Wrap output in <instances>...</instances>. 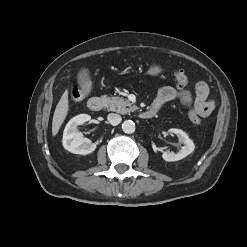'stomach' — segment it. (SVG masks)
<instances>
[{
  "label": "stomach",
  "mask_w": 247,
  "mask_h": 247,
  "mask_svg": "<svg viewBox=\"0 0 247 247\" xmlns=\"http://www.w3.org/2000/svg\"><path fill=\"white\" fill-rule=\"evenodd\" d=\"M162 72H163V69L159 65H152L148 70V74L151 76H158Z\"/></svg>",
  "instance_id": "stomach-1"
}]
</instances>
